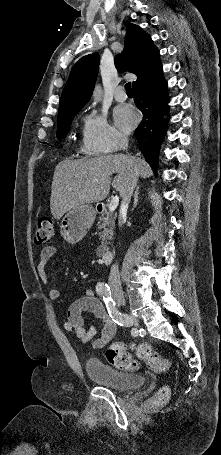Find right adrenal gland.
I'll use <instances>...</instances> for the list:
<instances>
[{
  "label": "right adrenal gland",
  "instance_id": "obj_1",
  "mask_svg": "<svg viewBox=\"0 0 221 455\" xmlns=\"http://www.w3.org/2000/svg\"><path fill=\"white\" fill-rule=\"evenodd\" d=\"M139 189H140V187L137 186V188H136V190H135V193H134V202H133V208H132V210H134V208H135V207L137 206V204H138V201H139V197H138V195H139Z\"/></svg>",
  "mask_w": 221,
  "mask_h": 455
}]
</instances>
